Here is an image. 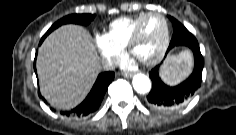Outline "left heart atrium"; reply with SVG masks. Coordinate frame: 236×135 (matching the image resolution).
<instances>
[{
  "label": "left heart atrium",
  "instance_id": "1",
  "mask_svg": "<svg viewBox=\"0 0 236 135\" xmlns=\"http://www.w3.org/2000/svg\"><path fill=\"white\" fill-rule=\"evenodd\" d=\"M134 64V60L133 59H126L123 63H122V67L124 68H130L132 67Z\"/></svg>",
  "mask_w": 236,
  "mask_h": 135
}]
</instances>
